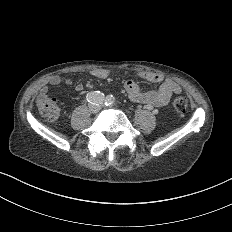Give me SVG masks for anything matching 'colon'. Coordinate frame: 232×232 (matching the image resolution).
I'll return each instance as SVG.
<instances>
[{"label": "colon", "mask_w": 232, "mask_h": 232, "mask_svg": "<svg viewBox=\"0 0 232 232\" xmlns=\"http://www.w3.org/2000/svg\"><path fill=\"white\" fill-rule=\"evenodd\" d=\"M38 101L41 113H49V119H60L59 108L51 105L49 96H38ZM172 101V107H175L174 114H188L193 109V104L184 94H176Z\"/></svg>", "instance_id": "1"}]
</instances>
